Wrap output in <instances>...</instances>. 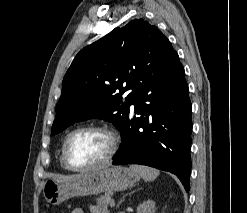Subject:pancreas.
<instances>
[{
	"label": "pancreas",
	"mask_w": 247,
	"mask_h": 213,
	"mask_svg": "<svg viewBox=\"0 0 247 213\" xmlns=\"http://www.w3.org/2000/svg\"><path fill=\"white\" fill-rule=\"evenodd\" d=\"M111 200L112 193H105L96 199L97 207L102 211V213H109L108 207Z\"/></svg>",
	"instance_id": "cf45deb5"
}]
</instances>
